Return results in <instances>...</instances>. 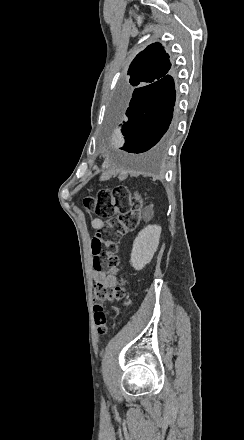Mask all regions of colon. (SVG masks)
Returning a JSON list of instances; mask_svg holds the SVG:
<instances>
[{
	"mask_svg": "<svg viewBox=\"0 0 244 440\" xmlns=\"http://www.w3.org/2000/svg\"><path fill=\"white\" fill-rule=\"evenodd\" d=\"M141 204L139 197L128 199L117 188L102 189L95 195L85 198V208L93 209L100 218L105 220L97 227V233L90 245L96 269L112 275H118L121 272L118 244L124 234L133 231L138 226L141 219ZM124 296L125 292L121 286L111 288L97 285L94 288L93 320L100 336H104L107 331L104 303L121 300Z\"/></svg>",
	"mask_w": 244,
	"mask_h": 440,
	"instance_id": "colon-1",
	"label": "colon"
}]
</instances>
